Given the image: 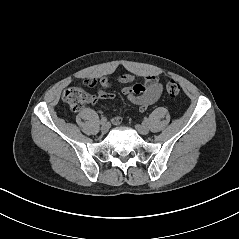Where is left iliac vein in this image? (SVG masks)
I'll return each instance as SVG.
<instances>
[{"instance_id": "4c4485c4", "label": "left iliac vein", "mask_w": 239, "mask_h": 239, "mask_svg": "<svg viewBox=\"0 0 239 239\" xmlns=\"http://www.w3.org/2000/svg\"><path fill=\"white\" fill-rule=\"evenodd\" d=\"M135 128L142 135H147L149 133V128L146 125L137 124Z\"/></svg>"}]
</instances>
